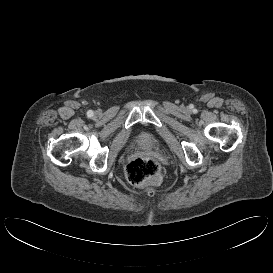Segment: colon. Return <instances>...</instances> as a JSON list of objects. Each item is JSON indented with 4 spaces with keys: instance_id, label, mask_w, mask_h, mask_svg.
Listing matches in <instances>:
<instances>
[{
    "instance_id": "colon-1",
    "label": "colon",
    "mask_w": 273,
    "mask_h": 273,
    "mask_svg": "<svg viewBox=\"0 0 273 273\" xmlns=\"http://www.w3.org/2000/svg\"><path fill=\"white\" fill-rule=\"evenodd\" d=\"M124 173L127 181L136 187L158 185L162 180L160 164L149 157H139L130 161Z\"/></svg>"
}]
</instances>
